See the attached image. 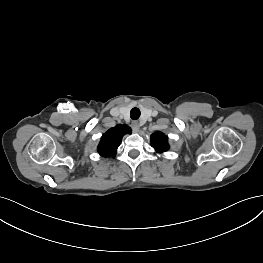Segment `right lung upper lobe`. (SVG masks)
I'll list each match as a JSON object with an SVG mask.
<instances>
[{"instance_id":"right-lung-upper-lobe-1","label":"right lung upper lobe","mask_w":263,"mask_h":263,"mask_svg":"<svg viewBox=\"0 0 263 263\" xmlns=\"http://www.w3.org/2000/svg\"><path fill=\"white\" fill-rule=\"evenodd\" d=\"M131 128L127 125H117L109 129L101 138L98 145V152L104 157H115L116 150L125 134H130Z\"/></svg>"}]
</instances>
